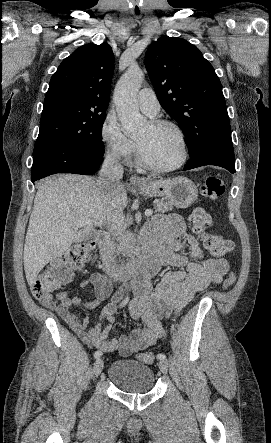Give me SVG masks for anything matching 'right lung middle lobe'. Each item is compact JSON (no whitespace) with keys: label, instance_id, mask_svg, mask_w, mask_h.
Wrapping results in <instances>:
<instances>
[{"label":"right lung middle lobe","instance_id":"1","mask_svg":"<svg viewBox=\"0 0 271 443\" xmlns=\"http://www.w3.org/2000/svg\"><path fill=\"white\" fill-rule=\"evenodd\" d=\"M107 108H94L70 100L44 103L33 156L49 146L98 148L104 151L101 130Z\"/></svg>","mask_w":271,"mask_h":443}]
</instances>
